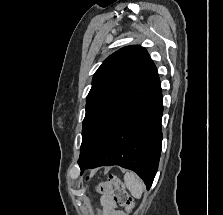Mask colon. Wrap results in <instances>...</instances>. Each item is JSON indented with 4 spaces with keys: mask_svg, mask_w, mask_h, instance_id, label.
<instances>
[{
    "mask_svg": "<svg viewBox=\"0 0 223 215\" xmlns=\"http://www.w3.org/2000/svg\"><path fill=\"white\" fill-rule=\"evenodd\" d=\"M109 182L113 186V201L116 204L123 206L128 212H131L134 207V202L132 197L126 191L123 182L116 175H110Z\"/></svg>",
    "mask_w": 223,
    "mask_h": 215,
    "instance_id": "colon-1",
    "label": "colon"
}]
</instances>
